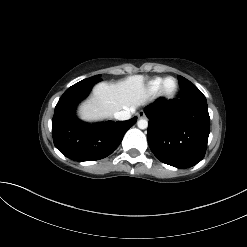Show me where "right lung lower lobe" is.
<instances>
[{"mask_svg":"<svg viewBox=\"0 0 247 247\" xmlns=\"http://www.w3.org/2000/svg\"><path fill=\"white\" fill-rule=\"evenodd\" d=\"M96 83L80 81L59 99L52 119V135L56 148L75 161L99 160L110 155L121 143L126 131L137 117L127 121H106L89 124L75 116L77 104L83 100Z\"/></svg>","mask_w":247,"mask_h":247,"instance_id":"obj_1","label":"right lung lower lobe"}]
</instances>
